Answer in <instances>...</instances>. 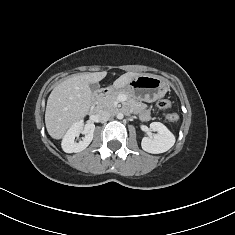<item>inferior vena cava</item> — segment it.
<instances>
[{"mask_svg":"<svg viewBox=\"0 0 235 235\" xmlns=\"http://www.w3.org/2000/svg\"><path fill=\"white\" fill-rule=\"evenodd\" d=\"M110 116H111L110 112L106 109H101L97 113V117H98L100 122L108 121Z\"/></svg>","mask_w":235,"mask_h":235,"instance_id":"inferior-vena-cava-1","label":"inferior vena cava"}]
</instances>
